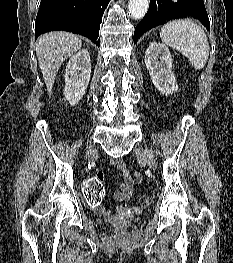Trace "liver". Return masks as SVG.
<instances>
[{
    "instance_id": "1",
    "label": "liver",
    "mask_w": 233,
    "mask_h": 263,
    "mask_svg": "<svg viewBox=\"0 0 233 263\" xmlns=\"http://www.w3.org/2000/svg\"><path fill=\"white\" fill-rule=\"evenodd\" d=\"M82 46L81 37L64 31L41 35L36 41V55L49 96L61 64Z\"/></svg>"
}]
</instances>
